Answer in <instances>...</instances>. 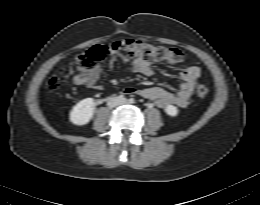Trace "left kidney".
<instances>
[{"instance_id": "5707ae66", "label": "left kidney", "mask_w": 260, "mask_h": 205, "mask_svg": "<svg viewBox=\"0 0 260 205\" xmlns=\"http://www.w3.org/2000/svg\"><path fill=\"white\" fill-rule=\"evenodd\" d=\"M165 112L166 114H168L169 116L175 117L178 114V109L177 107L173 106V105H167L165 107Z\"/></svg>"}]
</instances>
